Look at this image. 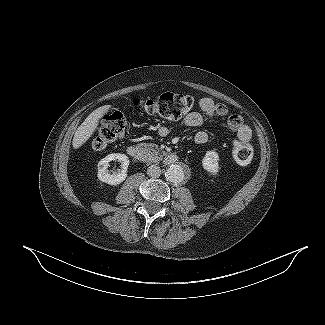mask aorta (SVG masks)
Returning a JSON list of instances; mask_svg holds the SVG:
<instances>
[{"mask_svg": "<svg viewBox=\"0 0 325 325\" xmlns=\"http://www.w3.org/2000/svg\"><path fill=\"white\" fill-rule=\"evenodd\" d=\"M165 177L168 181L172 182V183H181L184 181L185 179V170L181 165L178 164H174L171 165L166 173H165Z\"/></svg>", "mask_w": 325, "mask_h": 325, "instance_id": "1", "label": "aorta"}]
</instances>
